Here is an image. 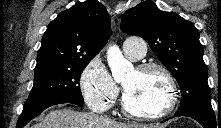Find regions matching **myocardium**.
<instances>
[{
    "label": "myocardium",
    "instance_id": "f54148a6",
    "mask_svg": "<svg viewBox=\"0 0 221 128\" xmlns=\"http://www.w3.org/2000/svg\"><path fill=\"white\" fill-rule=\"evenodd\" d=\"M136 71L138 73L158 71L164 77L168 87L167 99L164 106L157 110L136 112L129 108L125 99V92H123L120 100L123 113L129 118L137 120H154L169 115L174 109L177 101V84L171 71L166 66L155 62L140 64L137 66Z\"/></svg>",
    "mask_w": 221,
    "mask_h": 128
}]
</instances>
